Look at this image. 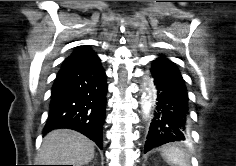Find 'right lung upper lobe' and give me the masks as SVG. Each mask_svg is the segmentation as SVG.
<instances>
[{
	"label": "right lung upper lobe",
	"instance_id": "right-lung-upper-lobe-1",
	"mask_svg": "<svg viewBox=\"0 0 236 166\" xmlns=\"http://www.w3.org/2000/svg\"><path fill=\"white\" fill-rule=\"evenodd\" d=\"M99 60V57L88 46H78L63 62L62 67L81 66Z\"/></svg>",
	"mask_w": 236,
	"mask_h": 166
}]
</instances>
